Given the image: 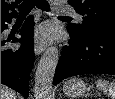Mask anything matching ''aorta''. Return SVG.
<instances>
[{
    "instance_id": "762f6f07",
    "label": "aorta",
    "mask_w": 115,
    "mask_h": 99,
    "mask_svg": "<svg viewBox=\"0 0 115 99\" xmlns=\"http://www.w3.org/2000/svg\"><path fill=\"white\" fill-rule=\"evenodd\" d=\"M59 54L56 47H50L40 59L35 74V98L50 99L52 83L58 64Z\"/></svg>"
}]
</instances>
